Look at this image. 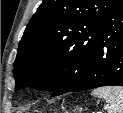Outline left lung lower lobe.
Masks as SVG:
<instances>
[{
  "instance_id": "left-lung-lower-lobe-1",
  "label": "left lung lower lobe",
  "mask_w": 123,
  "mask_h": 113,
  "mask_svg": "<svg viewBox=\"0 0 123 113\" xmlns=\"http://www.w3.org/2000/svg\"><path fill=\"white\" fill-rule=\"evenodd\" d=\"M111 85L123 86V0H115L103 17L83 79L62 94Z\"/></svg>"
}]
</instances>
